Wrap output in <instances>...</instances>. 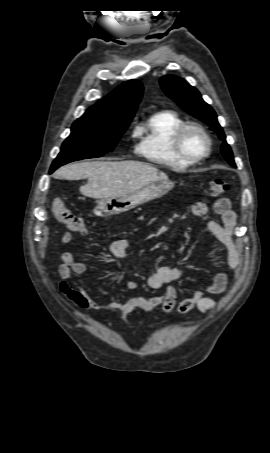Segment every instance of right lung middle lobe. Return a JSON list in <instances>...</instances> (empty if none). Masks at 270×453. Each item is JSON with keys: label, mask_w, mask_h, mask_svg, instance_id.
<instances>
[{"label": "right lung middle lobe", "mask_w": 270, "mask_h": 453, "mask_svg": "<svg viewBox=\"0 0 270 453\" xmlns=\"http://www.w3.org/2000/svg\"><path fill=\"white\" fill-rule=\"evenodd\" d=\"M128 125H116L96 119H78L70 136L63 142L61 151L53 161L50 173L66 163L100 157L116 146Z\"/></svg>", "instance_id": "right-lung-middle-lobe-1"}]
</instances>
